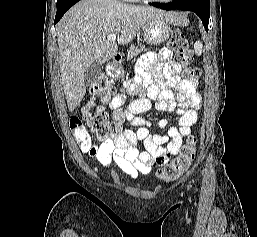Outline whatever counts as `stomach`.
Wrapping results in <instances>:
<instances>
[{
  "instance_id": "0dacf381",
  "label": "stomach",
  "mask_w": 257,
  "mask_h": 237,
  "mask_svg": "<svg viewBox=\"0 0 257 237\" xmlns=\"http://www.w3.org/2000/svg\"><path fill=\"white\" fill-rule=\"evenodd\" d=\"M171 34L168 21L163 18H153L148 20L143 27V35L146 43L158 45L166 41Z\"/></svg>"
}]
</instances>
